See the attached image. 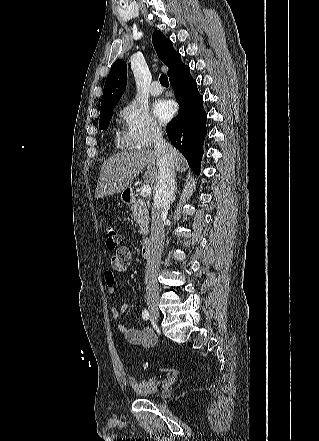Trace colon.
Returning <instances> with one entry per match:
<instances>
[{
    "label": "colon",
    "instance_id": "1",
    "mask_svg": "<svg viewBox=\"0 0 319 441\" xmlns=\"http://www.w3.org/2000/svg\"><path fill=\"white\" fill-rule=\"evenodd\" d=\"M106 246L109 250H114L122 245V237L118 233L117 229L113 226H108L105 229ZM148 363L144 364V368H147Z\"/></svg>",
    "mask_w": 319,
    "mask_h": 441
}]
</instances>
